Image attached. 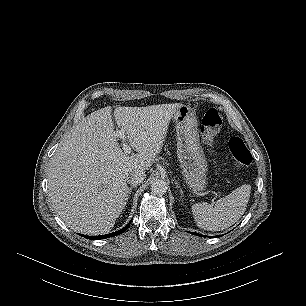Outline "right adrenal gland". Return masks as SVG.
Returning a JSON list of instances; mask_svg holds the SVG:
<instances>
[{
    "instance_id": "2a0ac1e0",
    "label": "right adrenal gland",
    "mask_w": 306,
    "mask_h": 306,
    "mask_svg": "<svg viewBox=\"0 0 306 306\" xmlns=\"http://www.w3.org/2000/svg\"><path fill=\"white\" fill-rule=\"evenodd\" d=\"M135 187H136V186H131V187L128 189V199L130 198L132 189L135 188Z\"/></svg>"
}]
</instances>
